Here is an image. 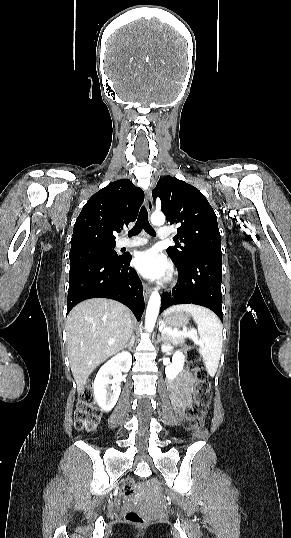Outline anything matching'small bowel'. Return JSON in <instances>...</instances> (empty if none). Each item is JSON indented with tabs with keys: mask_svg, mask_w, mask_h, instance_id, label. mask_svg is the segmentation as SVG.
I'll return each instance as SVG.
<instances>
[{
	"mask_svg": "<svg viewBox=\"0 0 291 538\" xmlns=\"http://www.w3.org/2000/svg\"><path fill=\"white\" fill-rule=\"evenodd\" d=\"M193 385L194 380L191 374L186 371H183L172 383V398L178 407L190 397Z\"/></svg>",
	"mask_w": 291,
	"mask_h": 538,
	"instance_id": "obj_1",
	"label": "small bowel"
}]
</instances>
